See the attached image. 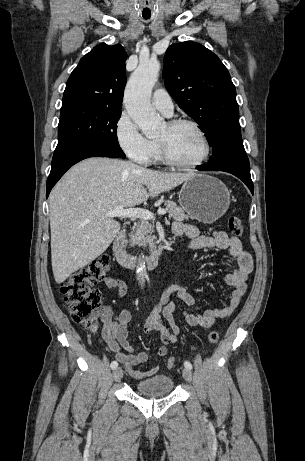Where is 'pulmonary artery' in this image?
Wrapping results in <instances>:
<instances>
[{
  "label": "pulmonary artery",
  "mask_w": 305,
  "mask_h": 461,
  "mask_svg": "<svg viewBox=\"0 0 305 461\" xmlns=\"http://www.w3.org/2000/svg\"><path fill=\"white\" fill-rule=\"evenodd\" d=\"M152 105L167 117L173 114V101L164 88H158L153 92Z\"/></svg>",
  "instance_id": "e3ab8cb5"
}]
</instances>
